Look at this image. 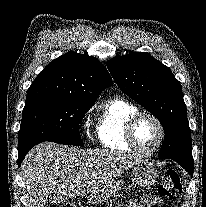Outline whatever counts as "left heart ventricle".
I'll use <instances>...</instances> for the list:
<instances>
[{"label":"left heart ventricle","instance_id":"obj_1","mask_svg":"<svg viewBox=\"0 0 206 207\" xmlns=\"http://www.w3.org/2000/svg\"><path fill=\"white\" fill-rule=\"evenodd\" d=\"M135 141L143 150L154 148L159 140V129L155 122L149 118H142L136 124Z\"/></svg>","mask_w":206,"mask_h":207}]
</instances>
